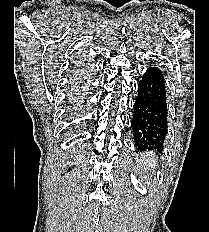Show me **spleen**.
<instances>
[{"label":"spleen","mask_w":209,"mask_h":232,"mask_svg":"<svg viewBox=\"0 0 209 232\" xmlns=\"http://www.w3.org/2000/svg\"><path fill=\"white\" fill-rule=\"evenodd\" d=\"M141 163H142V167L145 171L149 170V168L155 169V165H156V160H155V155L152 154V156H150V154L148 153H144L141 159Z\"/></svg>","instance_id":"spleen-1"}]
</instances>
